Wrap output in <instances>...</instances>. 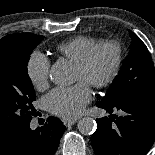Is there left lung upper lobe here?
Returning a JSON list of instances; mask_svg holds the SVG:
<instances>
[{
	"label": "left lung upper lobe",
	"mask_w": 155,
	"mask_h": 155,
	"mask_svg": "<svg viewBox=\"0 0 155 155\" xmlns=\"http://www.w3.org/2000/svg\"><path fill=\"white\" fill-rule=\"evenodd\" d=\"M132 39L128 56L118 76L103 98V103H113L137 90L155 87V68L149 51L141 39L129 30Z\"/></svg>",
	"instance_id": "obj_1"
}]
</instances>
